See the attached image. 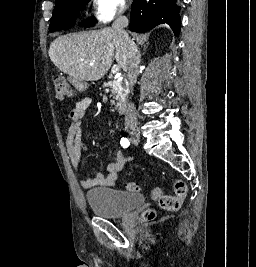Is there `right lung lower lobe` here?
<instances>
[{
	"label": "right lung lower lobe",
	"mask_w": 256,
	"mask_h": 267,
	"mask_svg": "<svg viewBox=\"0 0 256 267\" xmlns=\"http://www.w3.org/2000/svg\"><path fill=\"white\" fill-rule=\"evenodd\" d=\"M176 0H134L129 29L144 33L159 24L167 23L174 34L180 32L179 6Z\"/></svg>",
	"instance_id": "98d812e1"
}]
</instances>
